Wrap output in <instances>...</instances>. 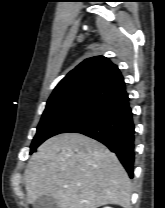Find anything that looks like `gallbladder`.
I'll return each mask as SVG.
<instances>
[{"label":"gallbladder","mask_w":165,"mask_h":208,"mask_svg":"<svg viewBox=\"0 0 165 208\" xmlns=\"http://www.w3.org/2000/svg\"><path fill=\"white\" fill-rule=\"evenodd\" d=\"M34 208H59L57 201L50 196H40L33 204Z\"/></svg>","instance_id":"gallbladder-1"}]
</instances>
